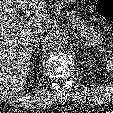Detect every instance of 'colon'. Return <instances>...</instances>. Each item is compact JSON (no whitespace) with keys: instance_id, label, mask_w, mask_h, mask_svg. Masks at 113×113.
<instances>
[{"instance_id":"1","label":"colon","mask_w":113,"mask_h":113,"mask_svg":"<svg viewBox=\"0 0 113 113\" xmlns=\"http://www.w3.org/2000/svg\"><path fill=\"white\" fill-rule=\"evenodd\" d=\"M96 11L100 17L113 23V0H98Z\"/></svg>"}]
</instances>
